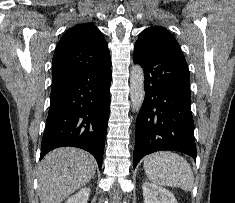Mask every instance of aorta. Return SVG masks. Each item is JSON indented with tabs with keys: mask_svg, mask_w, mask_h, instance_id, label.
Here are the masks:
<instances>
[{
	"mask_svg": "<svg viewBox=\"0 0 235 203\" xmlns=\"http://www.w3.org/2000/svg\"><path fill=\"white\" fill-rule=\"evenodd\" d=\"M130 97L133 110L139 112L145 98L144 71L138 64L134 65L130 73Z\"/></svg>",
	"mask_w": 235,
	"mask_h": 203,
	"instance_id": "762f6f07",
	"label": "aorta"
}]
</instances>
